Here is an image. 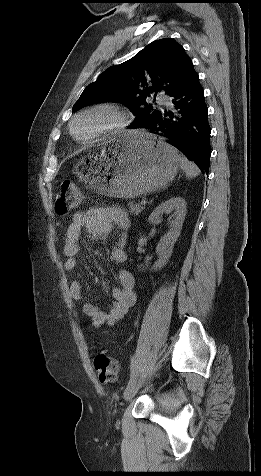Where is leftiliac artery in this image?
<instances>
[{"instance_id": "44dca946", "label": "left iliac artery", "mask_w": 261, "mask_h": 476, "mask_svg": "<svg viewBox=\"0 0 261 476\" xmlns=\"http://www.w3.org/2000/svg\"><path fill=\"white\" fill-rule=\"evenodd\" d=\"M131 373H130V379H129V382H128V385H131L135 379H136V376H137V367H136V356H133L132 359H131Z\"/></svg>"}]
</instances>
